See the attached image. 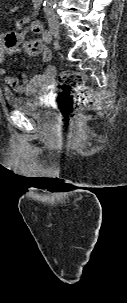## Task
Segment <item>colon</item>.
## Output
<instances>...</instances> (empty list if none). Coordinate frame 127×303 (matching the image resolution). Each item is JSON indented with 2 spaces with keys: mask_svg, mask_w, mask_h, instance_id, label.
<instances>
[{
  "mask_svg": "<svg viewBox=\"0 0 127 303\" xmlns=\"http://www.w3.org/2000/svg\"><path fill=\"white\" fill-rule=\"evenodd\" d=\"M12 41L15 40L12 39ZM58 84L62 90L60 104L64 120H68L90 107L93 101V91L84 83L79 73L71 70L61 72Z\"/></svg>",
  "mask_w": 127,
  "mask_h": 303,
  "instance_id": "obj_1",
  "label": "colon"
}]
</instances>
